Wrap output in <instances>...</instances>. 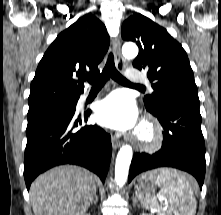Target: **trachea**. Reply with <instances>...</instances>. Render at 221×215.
Masks as SVG:
<instances>
[{
	"instance_id": "trachea-1",
	"label": "trachea",
	"mask_w": 221,
	"mask_h": 215,
	"mask_svg": "<svg viewBox=\"0 0 221 215\" xmlns=\"http://www.w3.org/2000/svg\"><path fill=\"white\" fill-rule=\"evenodd\" d=\"M114 79L121 84L132 85L140 88H144L142 85H136L129 82L125 77H123L115 68L114 56L112 53L109 54L107 63L102 71L97 77L88 80V83L92 85V88H101L108 79Z\"/></svg>"
}]
</instances>
